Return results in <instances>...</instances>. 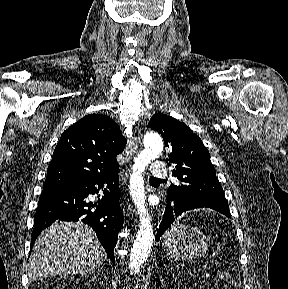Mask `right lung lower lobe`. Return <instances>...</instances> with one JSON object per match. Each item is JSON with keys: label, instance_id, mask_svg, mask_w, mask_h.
Returning <instances> with one entry per match:
<instances>
[{"label": "right lung lower lobe", "instance_id": "98d812e1", "mask_svg": "<svg viewBox=\"0 0 288 289\" xmlns=\"http://www.w3.org/2000/svg\"><path fill=\"white\" fill-rule=\"evenodd\" d=\"M118 184L117 167L93 177L44 188L35 213L31 245L40 232L52 223L81 220L96 232L101 245L115 264L114 248L124 222ZM99 191L104 194L101 200L95 204L87 201L89 194Z\"/></svg>", "mask_w": 288, "mask_h": 289}]
</instances>
